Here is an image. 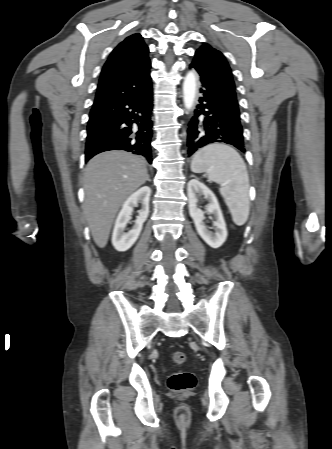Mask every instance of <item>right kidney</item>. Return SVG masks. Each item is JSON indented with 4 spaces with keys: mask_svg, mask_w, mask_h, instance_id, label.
<instances>
[{
    "mask_svg": "<svg viewBox=\"0 0 332 449\" xmlns=\"http://www.w3.org/2000/svg\"><path fill=\"white\" fill-rule=\"evenodd\" d=\"M150 195L151 189L148 186H144L130 195L124 202L122 209L117 216L112 233V244L117 251L123 252L128 250L138 239L143 223L146 221L149 214ZM138 203L142 205V209L139 211V215L137 216L132 229L126 233L124 231L127 223L131 219L133 207L137 206Z\"/></svg>",
    "mask_w": 332,
    "mask_h": 449,
    "instance_id": "1",
    "label": "right kidney"
}]
</instances>
